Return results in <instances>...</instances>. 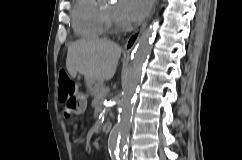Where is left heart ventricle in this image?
I'll return each instance as SVG.
<instances>
[{
    "instance_id": "obj_1",
    "label": "left heart ventricle",
    "mask_w": 242,
    "mask_h": 160,
    "mask_svg": "<svg viewBox=\"0 0 242 160\" xmlns=\"http://www.w3.org/2000/svg\"><path fill=\"white\" fill-rule=\"evenodd\" d=\"M102 9L107 13V15L117 24H121L115 16V5L112 3H106L102 6Z\"/></svg>"
}]
</instances>
